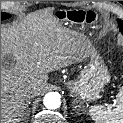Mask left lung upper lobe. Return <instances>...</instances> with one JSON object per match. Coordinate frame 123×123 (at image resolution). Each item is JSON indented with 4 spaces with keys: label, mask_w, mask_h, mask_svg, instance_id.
Here are the masks:
<instances>
[{
    "label": "left lung upper lobe",
    "mask_w": 123,
    "mask_h": 123,
    "mask_svg": "<svg viewBox=\"0 0 123 123\" xmlns=\"http://www.w3.org/2000/svg\"><path fill=\"white\" fill-rule=\"evenodd\" d=\"M118 24H119L120 31L123 34V21L118 20Z\"/></svg>",
    "instance_id": "1"
}]
</instances>
